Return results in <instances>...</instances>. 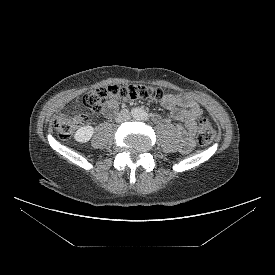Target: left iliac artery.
<instances>
[{"label": "left iliac artery", "mask_w": 275, "mask_h": 275, "mask_svg": "<svg viewBox=\"0 0 275 275\" xmlns=\"http://www.w3.org/2000/svg\"><path fill=\"white\" fill-rule=\"evenodd\" d=\"M144 118L147 120V119H148V115L146 114V115L144 116Z\"/></svg>", "instance_id": "left-iliac-artery-1"}]
</instances>
